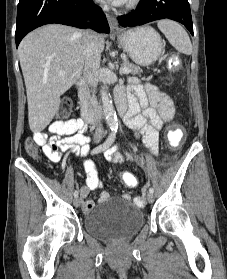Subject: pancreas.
<instances>
[{
  "instance_id": "pancreas-1",
  "label": "pancreas",
  "mask_w": 227,
  "mask_h": 279,
  "mask_svg": "<svg viewBox=\"0 0 227 279\" xmlns=\"http://www.w3.org/2000/svg\"><path fill=\"white\" fill-rule=\"evenodd\" d=\"M123 67H127L130 70V74L133 75H139L142 70L140 69V67H138L137 65H134L133 63H130L127 59L123 60ZM83 99L88 103V104H96L97 103V99L95 94H91L89 89H84L83 93H82Z\"/></svg>"
}]
</instances>
